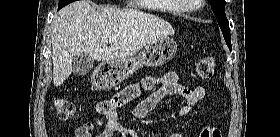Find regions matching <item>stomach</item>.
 <instances>
[{
	"mask_svg": "<svg viewBox=\"0 0 280 137\" xmlns=\"http://www.w3.org/2000/svg\"><path fill=\"white\" fill-rule=\"evenodd\" d=\"M177 51V43L162 37L147 44L138 56L103 62L93 84L98 89H110L144 66H161L169 62Z\"/></svg>",
	"mask_w": 280,
	"mask_h": 137,
	"instance_id": "obj_1",
	"label": "stomach"
}]
</instances>
